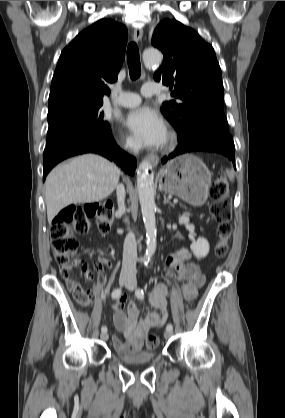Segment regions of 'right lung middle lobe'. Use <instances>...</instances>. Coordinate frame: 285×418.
<instances>
[{
	"label": "right lung middle lobe",
	"mask_w": 285,
	"mask_h": 418,
	"mask_svg": "<svg viewBox=\"0 0 285 418\" xmlns=\"http://www.w3.org/2000/svg\"><path fill=\"white\" fill-rule=\"evenodd\" d=\"M103 102L68 100L48 105L47 145L77 132L111 131L100 110Z\"/></svg>",
	"instance_id": "obj_1"
}]
</instances>
